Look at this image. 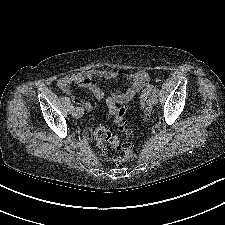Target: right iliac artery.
<instances>
[{
	"instance_id": "right-iliac-artery-1",
	"label": "right iliac artery",
	"mask_w": 225,
	"mask_h": 225,
	"mask_svg": "<svg viewBox=\"0 0 225 225\" xmlns=\"http://www.w3.org/2000/svg\"><path fill=\"white\" fill-rule=\"evenodd\" d=\"M74 108L73 104H71L70 106V111H72V109Z\"/></svg>"
}]
</instances>
